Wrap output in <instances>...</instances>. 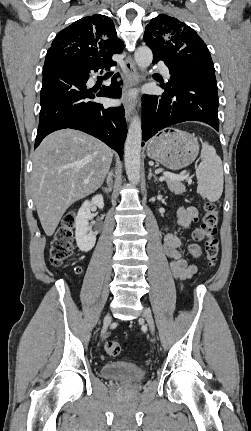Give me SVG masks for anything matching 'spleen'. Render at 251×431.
<instances>
[{"instance_id": "1", "label": "spleen", "mask_w": 251, "mask_h": 431, "mask_svg": "<svg viewBox=\"0 0 251 431\" xmlns=\"http://www.w3.org/2000/svg\"><path fill=\"white\" fill-rule=\"evenodd\" d=\"M197 192L202 198L217 201L223 192V167L221 158L213 146L202 144L201 162L196 169Z\"/></svg>"}]
</instances>
